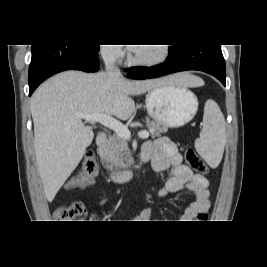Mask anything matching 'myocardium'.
<instances>
[{
  "label": "myocardium",
  "mask_w": 267,
  "mask_h": 267,
  "mask_svg": "<svg viewBox=\"0 0 267 267\" xmlns=\"http://www.w3.org/2000/svg\"><path fill=\"white\" fill-rule=\"evenodd\" d=\"M160 48H161V52L155 58L142 60V59H138L135 56V54H131L129 55L128 60L131 64H134L136 66H141V67H152V66L159 65L163 63L164 61H166L170 54V48L168 45L161 44Z\"/></svg>",
  "instance_id": "obj_1"
}]
</instances>
